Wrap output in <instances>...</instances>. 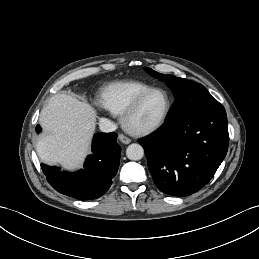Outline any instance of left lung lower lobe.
Wrapping results in <instances>:
<instances>
[{
    "mask_svg": "<svg viewBox=\"0 0 259 259\" xmlns=\"http://www.w3.org/2000/svg\"><path fill=\"white\" fill-rule=\"evenodd\" d=\"M157 187L173 196L199 191L214 176L229 143L224 107L203 109L166 123L139 140Z\"/></svg>",
    "mask_w": 259,
    "mask_h": 259,
    "instance_id": "1",
    "label": "left lung lower lobe"
}]
</instances>
